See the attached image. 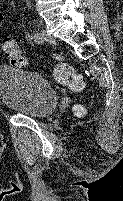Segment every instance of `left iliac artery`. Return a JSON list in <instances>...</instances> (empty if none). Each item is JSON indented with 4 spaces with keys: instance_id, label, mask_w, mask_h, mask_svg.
<instances>
[{
    "instance_id": "1",
    "label": "left iliac artery",
    "mask_w": 123,
    "mask_h": 201,
    "mask_svg": "<svg viewBox=\"0 0 123 201\" xmlns=\"http://www.w3.org/2000/svg\"><path fill=\"white\" fill-rule=\"evenodd\" d=\"M33 38H34V41H35V42L41 43L42 38H41L40 33L36 32V33L34 34Z\"/></svg>"
}]
</instances>
